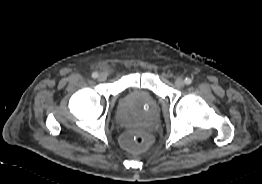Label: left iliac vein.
<instances>
[{
    "label": "left iliac vein",
    "instance_id": "obj_1",
    "mask_svg": "<svg viewBox=\"0 0 262 184\" xmlns=\"http://www.w3.org/2000/svg\"><path fill=\"white\" fill-rule=\"evenodd\" d=\"M184 84H185V81L180 77L175 80V85L177 87H182V86H184Z\"/></svg>",
    "mask_w": 262,
    "mask_h": 184
}]
</instances>
